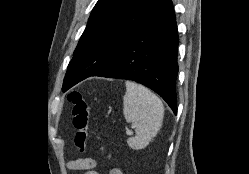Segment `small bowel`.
<instances>
[{
    "instance_id": "small-bowel-1",
    "label": "small bowel",
    "mask_w": 249,
    "mask_h": 174,
    "mask_svg": "<svg viewBox=\"0 0 249 174\" xmlns=\"http://www.w3.org/2000/svg\"><path fill=\"white\" fill-rule=\"evenodd\" d=\"M97 165V161L94 158H78L71 160L68 163V168L73 171H85V174H97L94 170ZM109 174H123L118 168H113L110 170Z\"/></svg>"
}]
</instances>
